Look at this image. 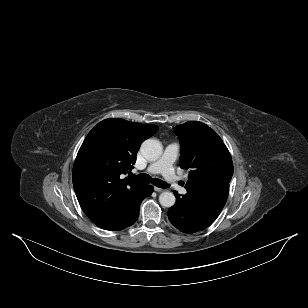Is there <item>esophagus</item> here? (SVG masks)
<instances>
[{
    "label": "esophagus",
    "mask_w": 308,
    "mask_h": 308,
    "mask_svg": "<svg viewBox=\"0 0 308 308\" xmlns=\"http://www.w3.org/2000/svg\"><path fill=\"white\" fill-rule=\"evenodd\" d=\"M154 190L159 193L165 191L164 189L159 188V187H154Z\"/></svg>",
    "instance_id": "1"
}]
</instances>
